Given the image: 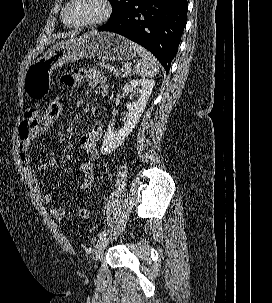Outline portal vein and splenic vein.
Returning a JSON list of instances; mask_svg holds the SVG:
<instances>
[{"label":"portal vein and splenic vein","instance_id":"portal-vein-and-splenic-vein-1","mask_svg":"<svg viewBox=\"0 0 272 303\" xmlns=\"http://www.w3.org/2000/svg\"><path fill=\"white\" fill-rule=\"evenodd\" d=\"M124 68H125V69H131V65H130V64H125V65H124Z\"/></svg>","mask_w":272,"mask_h":303}]
</instances>
